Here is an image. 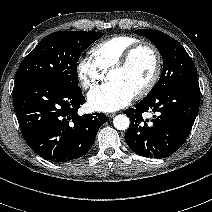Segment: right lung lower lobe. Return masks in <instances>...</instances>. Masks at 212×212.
I'll return each instance as SVG.
<instances>
[{"instance_id": "right-lung-lower-lobe-1", "label": "right lung lower lobe", "mask_w": 212, "mask_h": 212, "mask_svg": "<svg viewBox=\"0 0 212 212\" xmlns=\"http://www.w3.org/2000/svg\"><path fill=\"white\" fill-rule=\"evenodd\" d=\"M13 94L25 141L39 156L52 162H68L86 154L107 120L104 113L79 116L77 111L85 102L82 91L55 81L20 82Z\"/></svg>"}]
</instances>
